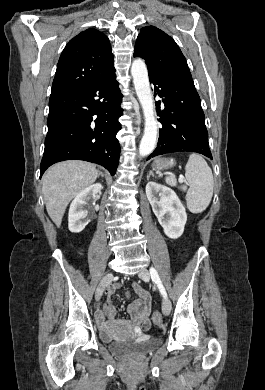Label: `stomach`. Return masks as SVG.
I'll list each match as a JSON object with an SVG mask.
<instances>
[{
  "label": "stomach",
  "instance_id": "0dacf381",
  "mask_svg": "<svg viewBox=\"0 0 265 390\" xmlns=\"http://www.w3.org/2000/svg\"><path fill=\"white\" fill-rule=\"evenodd\" d=\"M174 165L175 161L173 159L158 158L153 162L152 167L154 170H164Z\"/></svg>",
  "mask_w": 265,
  "mask_h": 390
}]
</instances>
